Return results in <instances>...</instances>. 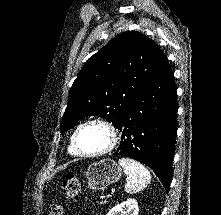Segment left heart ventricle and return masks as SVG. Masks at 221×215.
Returning a JSON list of instances; mask_svg holds the SVG:
<instances>
[{
	"label": "left heart ventricle",
	"mask_w": 221,
	"mask_h": 215,
	"mask_svg": "<svg viewBox=\"0 0 221 215\" xmlns=\"http://www.w3.org/2000/svg\"><path fill=\"white\" fill-rule=\"evenodd\" d=\"M77 142L80 150L83 152L94 153L107 146L109 136L102 126L92 124L80 131Z\"/></svg>",
	"instance_id": "b2bd125f"
}]
</instances>
